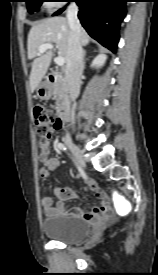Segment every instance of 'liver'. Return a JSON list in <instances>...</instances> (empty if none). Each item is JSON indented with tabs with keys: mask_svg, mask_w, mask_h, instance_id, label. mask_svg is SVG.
Segmentation results:
<instances>
[{
	"mask_svg": "<svg viewBox=\"0 0 158 275\" xmlns=\"http://www.w3.org/2000/svg\"><path fill=\"white\" fill-rule=\"evenodd\" d=\"M69 23L64 17H52L35 24L28 34V59L33 60L30 74V87L34 91L41 83L47 73L52 60L53 52L45 51L38 55V49L43 44H55L58 56L63 57L67 62ZM90 37L81 28L80 43L83 46L89 44Z\"/></svg>",
	"mask_w": 158,
	"mask_h": 275,
	"instance_id": "6515ba94",
	"label": "liver"
}]
</instances>
